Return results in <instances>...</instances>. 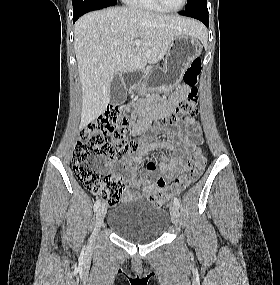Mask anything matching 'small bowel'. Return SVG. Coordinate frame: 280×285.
Here are the masks:
<instances>
[{
	"instance_id": "1",
	"label": "small bowel",
	"mask_w": 280,
	"mask_h": 285,
	"mask_svg": "<svg viewBox=\"0 0 280 285\" xmlns=\"http://www.w3.org/2000/svg\"><path fill=\"white\" fill-rule=\"evenodd\" d=\"M188 92L189 87L182 85L177 92L169 97L167 102L154 115V118L171 113L186 98ZM150 122L151 120L144 116L139 117L131 129V134L135 137L143 135L148 130ZM185 124V131L173 133V142L157 139L140 142L134 151L118 161L120 168L128 175L127 178L123 179L122 198L125 200L146 198L156 190L164 188L168 180L177 179L180 176L184 169L185 159L201 140L200 125L196 119L193 117L188 118L185 120ZM174 144L179 145V148H176ZM153 150H166L171 153V157L160 160L159 164L153 160L147 162V173L154 174L159 171V175L155 180L148 177L139 178L135 164L140 163L143 156ZM134 190L137 191L134 192Z\"/></svg>"
}]
</instances>
